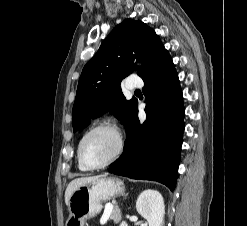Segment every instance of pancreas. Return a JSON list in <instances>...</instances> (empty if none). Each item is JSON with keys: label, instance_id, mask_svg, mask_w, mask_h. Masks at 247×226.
I'll use <instances>...</instances> for the list:
<instances>
[{"label": "pancreas", "instance_id": "pancreas-1", "mask_svg": "<svg viewBox=\"0 0 247 226\" xmlns=\"http://www.w3.org/2000/svg\"><path fill=\"white\" fill-rule=\"evenodd\" d=\"M118 219V209L115 207L111 213L110 220L117 221Z\"/></svg>", "mask_w": 247, "mask_h": 226}]
</instances>
